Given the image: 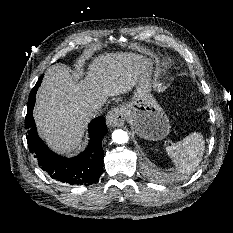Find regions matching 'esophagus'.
<instances>
[{"label":"esophagus","instance_id":"esophagus-1","mask_svg":"<svg viewBox=\"0 0 233 233\" xmlns=\"http://www.w3.org/2000/svg\"><path fill=\"white\" fill-rule=\"evenodd\" d=\"M126 119V112L123 106H118L107 114L106 122L110 127H120L124 124Z\"/></svg>","mask_w":233,"mask_h":233}]
</instances>
